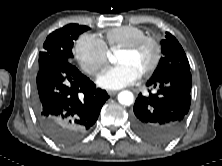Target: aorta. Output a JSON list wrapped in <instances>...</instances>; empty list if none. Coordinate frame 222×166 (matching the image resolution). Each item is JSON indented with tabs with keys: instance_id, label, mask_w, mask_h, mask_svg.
<instances>
[{
	"instance_id": "obj_1",
	"label": "aorta",
	"mask_w": 222,
	"mask_h": 166,
	"mask_svg": "<svg viewBox=\"0 0 222 166\" xmlns=\"http://www.w3.org/2000/svg\"><path fill=\"white\" fill-rule=\"evenodd\" d=\"M118 101L122 105L129 106L133 103L134 96L132 92L124 90L118 94Z\"/></svg>"
}]
</instances>
